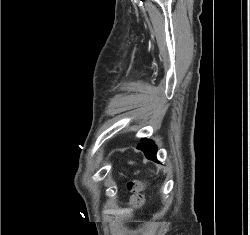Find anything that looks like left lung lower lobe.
I'll return each mask as SVG.
<instances>
[{"label": "left lung lower lobe", "mask_w": 250, "mask_h": 235, "mask_svg": "<svg viewBox=\"0 0 250 235\" xmlns=\"http://www.w3.org/2000/svg\"><path fill=\"white\" fill-rule=\"evenodd\" d=\"M138 149L142 150L148 159L157 161L156 160L157 147L151 140L142 139V143L138 145Z\"/></svg>", "instance_id": "0a47b994"}]
</instances>
